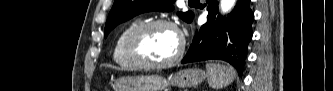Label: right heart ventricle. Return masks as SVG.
I'll use <instances>...</instances> for the list:
<instances>
[{"label": "right heart ventricle", "instance_id": "e07e8e85", "mask_svg": "<svg viewBox=\"0 0 333 91\" xmlns=\"http://www.w3.org/2000/svg\"><path fill=\"white\" fill-rule=\"evenodd\" d=\"M140 21H134L123 28L118 34L113 47V60L123 69L138 70L140 67L132 62L126 53V40L129 33L138 25Z\"/></svg>", "mask_w": 333, "mask_h": 91}]
</instances>
